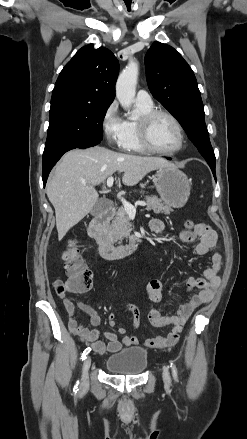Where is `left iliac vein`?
<instances>
[{"label": "left iliac vein", "instance_id": "4c4485c4", "mask_svg": "<svg viewBox=\"0 0 247 439\" xmlns=\"http://www.w3.org/2000/svg\"><path fill=\"white\" fill-rule=\"evenodd\" d=\"M163 381H164L166 387L170 386L171 377H170L169 370L166 366L163 367Z\"/></svg>", "mask_w": 247, "mask_h": 439}]
</instances>
